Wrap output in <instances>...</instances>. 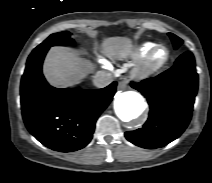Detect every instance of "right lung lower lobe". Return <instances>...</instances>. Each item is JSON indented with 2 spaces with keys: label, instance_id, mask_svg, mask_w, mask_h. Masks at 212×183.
<instances>
[{
  "label": "right lung lower lobe",
  "instance_id": "right-lung-lower-lobe-1",
  "mask_svg": "<svg viewBox=\"0 0 212 183\" xmlns=\"http://www.w3.org/2000/svg\"><path fill=\"white\" fill-rule=\"evenodd\" d=\"M49 47L35 48L21 79V109L29 132L43 145L60 152L85 147L99 115L112 101L116 82L98 89H58L50 86L42 63Z\"/></svg>",
  "mask_w": 212,
  "mask_h": 183
}]
</instances>
